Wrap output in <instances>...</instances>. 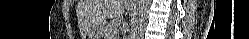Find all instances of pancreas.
Instances as JSON below:
<instances>
[{"label":"pancreas","mask_w":249,"mask_h":39,"mask_svg":"<svg viewBox=\"0 0 249 39\" xmlns=\"http://www.w3.org/2000/svg\"><path fill=\"white\" fill-rule=\"evenodd\" d=\"M119 24H120L119 20H112L111 22H109L104 29L105 36L109 39H113L115 36H117L118 34L117 29Z\"/></svg>","instance_id":"cf45deb5"}]
</instances>
